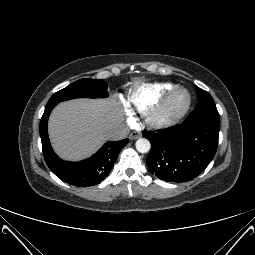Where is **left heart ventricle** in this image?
<instances>
[{"label":"left heart ventricle","instance_id":"left-heart-ventricle-1","mask_svg":"<svg viewBox=\"0 0 255 255\" xmlns=\"http://www.w3.org/2000/svg\"><path fill=\"white\" fill-rule=\"evenodd\" d=\"M185 102H186V94L185 93L180 92V93L176 94L172 98V100L168 106V111L175 112V111L179 110L180 108H182L184 106Z\"/></svg>","mask_w":255,"mask_h":255}]
</instances>
